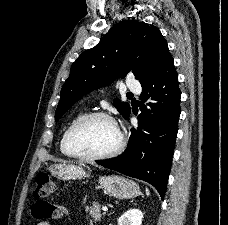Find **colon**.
I'll list each match as a JSON object with an SVG mask.
<instances>
[{
    "label": "colon",
    "mask_w": 228,
    "mask_h": 225,
    "mask_svg": "<svg viewBox=\"0 0 228 225\" xmlns=\"http://www.w3.org/2000/svg\"><path fill=\"white\" fill-rule=\"evenodd\" d=\"M54 190V184L50 180L49 176L43 173H40L37 176L35 187L33 190L34 199L41 201L44 200L46 196L51 194Z\"/></svg>",
    "instance_id": "1"
}]
</instances>
